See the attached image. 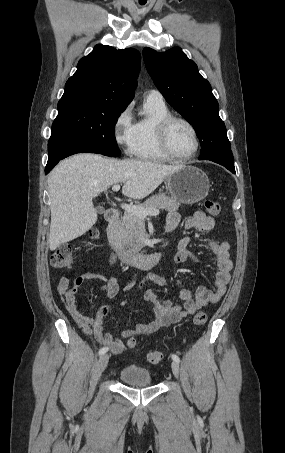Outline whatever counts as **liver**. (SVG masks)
Returning a JSON list of instances; mask_svg holds the SVG:
<instances>
[{"mask_svg":"<svg viewBox=\"0 0 285 453\" xmlns=\"http://www.w3.org/2000/svg\"><path fill=\"white\" fill-rule=\"evenodd\" d=\"M181 166L148 160H117L97 154H77L61 161L48 176L51 251L85 234L97 221L93 198L124 183L123 195L143 199Z\"/></svg>","mask_w":285,"mask_h":453,"instance_id":"6515ba94","label":"liver"}]
</instances>
